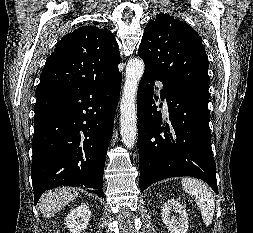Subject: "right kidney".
Instances as JSON below:
<instances>
[{"label":"right kidney","instance_id":"right-kidney-1","mask_svg":"<svg viewBox=\"0 0 253 233\" xmlns=\"http://www.w3.org/2000/svg\"><path fill=\"white\" fill-rule=\"evenodd\" d=\"M91 219V211L87 204H81L71 210L67 215L65 222L66 226L72 233H82L87 228Z\"/></svg>","mask_w":253,"mask_h":233}]
</instances>
